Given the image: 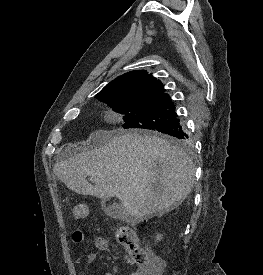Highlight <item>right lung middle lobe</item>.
<instances>
[{"instance_id":"right-lung-middle-lobe-1","label":"right lung middle lobe","mask_w":263,"mask_h":275,"mask_svg":"<svg viewBox=\"0 0 263 275\" xmlns=\"http://www.w3.org/2000/svg\"><path fill=\"white\" fill-rule=\"evenodd\" d=\"M96 98L113 107L114 111L123 114L125 129L157 131L179 120L175 105L168 96L140 97L118 91L101 94ZM169 141L178 146H187L181 139L173 136Z\"/></svg>"}]
</instances>
